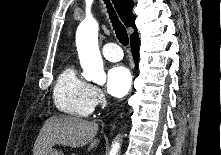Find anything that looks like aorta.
Instances as JSON below:
<instances>
[{
  "label": "aorta",
  "mask_w": 221,
  "mask_h": 155,
  "mask_svg": "<svg viewBox=\"0 0 221 155\" xmlns=\"http://www.w3.org/2000/svg\"><path fill=\"white\" fill-rule=\"evenodd\" d=\"M76 46L84 78L98 84L104 83L106 74L98 47V23L93 18H86L78 26ZM119 149L120 143L114 141L110 155H117Z\"/></svg>",
  "instance_id": "762f6f07"
}]
</instances>
